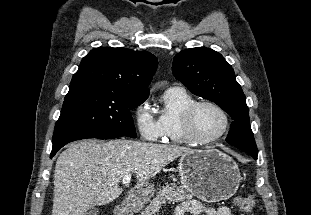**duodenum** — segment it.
<instances>
[{"mask_svg":"<svg viewBox=\"0 0 311 215\" xmlns=\"http://www.w3.org/2000/svg\"><path fill=\"white\" fill-rule=\"evenodd\" d=\"M129 214L130 210L123 205L118 206L116 209V215H129Z\"/></svg>","mask_w":311,"mask_h":215,"instance_id":"duodenum-1","label":"duodenum"}]
</instances>
